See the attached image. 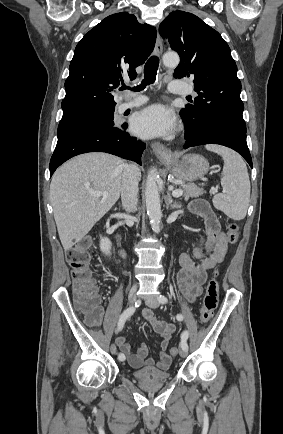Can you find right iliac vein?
I'll return each mask as SVG.
<instances>
[{
	"instance_id": "obj_1",
	"label": "right iliac vein",
	"mask_w": 283,
	"mask_h": 434,
	"mask_svg": "<svg viewBox=\"0 0 283 434\" xmlns=\"http://www.w3.org/2000/svg\"><path fill=\"white\" fill-rule=\"evenodd\" d=\"M136 292H137V284H134L131 287L129 294H128V302L130 305H133L136 301ZM110 351L113 355L117 353V349H116V346L114 344L111 345Z\"/></svg>"
}]
</instances>
